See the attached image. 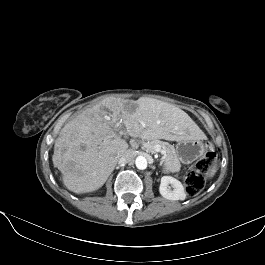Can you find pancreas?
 I'll return each mask as SVG.
<instances>
[{
	"label": "pancreas",
	"mask_w": 265,
	"mask_h": 265,
	"mask_svg": "<svg viewBox=\"0 0 265 265\" xmlns=\"http://www.w3.org/2000/svg\"><path fill=\"white\" fill-rule=\"evenodd\" d=\"M143 148L149 152H154V147L159 145L165 152V160L163 161V171L165 173H176L179 172L181 164L176 155V150L173 145L168 142H163L157 139L152 141L143 142Z\"/></svg>",
	"instance_id": "pancreas-1"
}]
</instances>
